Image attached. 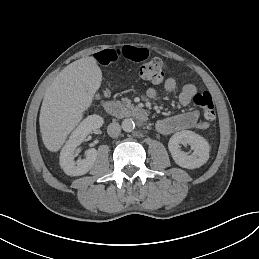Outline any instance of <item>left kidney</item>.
I'll use <instances>...</instances> for the list:
<instances>
[{
  "instance_id": "left-kidney-1",
  "label": "left kidney",
  "mask_w": 259,
  "mask_h": 259,
  "mask_svg": "<svg viewBox=\"0 0 259 259\" xmlns=\"http://www.w3.org/2000/svg\"><path fill=\"white\" fill-rule=\"evenodd\" d=\"M180 143L189 144L195 152L187 156L181 152ZM168 148L175 163L185 169H198L203 166L209 160L211 149L204 137L189 130L175 133L168 142Z\"/></svg>"
}]
</instances>
